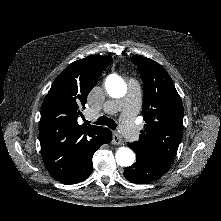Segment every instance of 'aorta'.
I'll return each mask as SVG.
<instances>
[{"label":"aorta","mask_w":221,"mask_h":221,"mask_svg":"<svg viewBox=\"0 0 221 221\" xmlns=\"http://www.w3.org/2000/svg\"><path fill=\"white\" fill-rule=\"evenodd\" d=\"M105 87L107 93L112 98H121L127 92V85L125 81L120 76L115 74L107 77ZM115 157L117 164L123 167H129L135 161V153L127 147L118 148Z\"/></svg>","instance_id":"obj_1"}]
</instances>
